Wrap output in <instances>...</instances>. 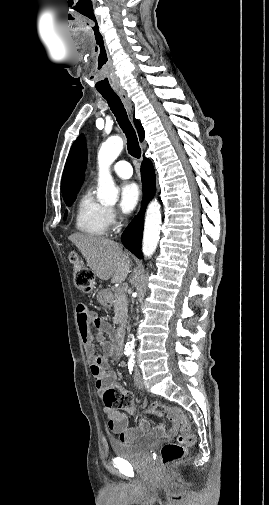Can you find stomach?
Segmentation results:
<instances>
[{
	"mask_svg": "<svg viewBox=\"0 0 269 505\" xmlns=\"http://www.w3.org/2000/svg\"><path fill=\"white\" fill-rule=\"evenodd\" d=\"M99 302H100V304H101V305H103V306H106V305H107V300H106V298L104 297L103 292H100V294H99Z\"/></svg>",
	"mask_w": 269,
	"mask_h": 505,
	"instance_id": "0dacf381",
	"label": "stomach"
}]
</instances>
